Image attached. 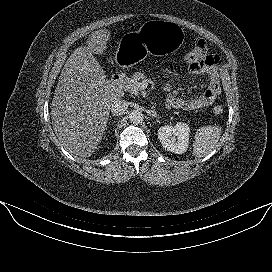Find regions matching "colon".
Listing matches in <instances>:
<instances>
[{
  "mask_svg": "<svg viewBox=\"0 0 272 272\" xmlns=\"http://www.w3.org/2000/svg\"><path fill=\"white\" fill-rule=\"evenodd\" d=\"M202 56H203V50L195 48L185 55L184 60L187 63L193 64V63L199 61L202 58ZM223 110H224L223 106L219 105V104L215 105L213 108V112L216 115L222 114Z\"/></svg>",
  "mask_w": 272,
  "mask_h": 272,
  "instance_id": "1",
  "label": "colon"
}]
</instances>
